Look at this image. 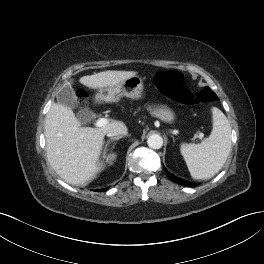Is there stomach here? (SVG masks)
I'll use <instances>...</instances> for the list:
<instances>
[{
	"label": "stomach",
	"mask_w": 264,
	"mask_h": 264,
	"mask_svg": "<svg viewBox=\"0 0 264 264\" xmlns=\"http://www.w3.org/2000/svg\"><path fill=\"white\" fill-rule=\"evenodd\" d=\"M143 81L135 75L120 82L117 85L101 89L96 97L100 101L117 102L122 96L139 100L143 96ZM151 116L160 119L164 123H172L175 119L174 112L166 105H149Z\"/></svg>",
	"instance_id": "obj_1"
}]
</instances>
